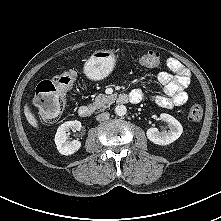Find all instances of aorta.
Returning a JSON list of instances; mask_svg holds the SVG:
<instances>
[{"label": "aorta", "instance_id": "1", "mask_svg": "<svg viewBox=\"0 0 221 221\" xmlns=\"http://www.w3.org/2000/svg\"><path fill=\"white\" fill-rule=\"evenodd\" d=\"M115 114L118 116H124L127 112V108L124 105H117L115 107Z\"/></svg>", "mask_w": 221, "mask_h": 221}]
</instances>
